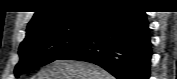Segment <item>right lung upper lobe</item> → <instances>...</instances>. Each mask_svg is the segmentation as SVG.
<instances>
[{
	"label": "right lung upper lobe",
	"instance_id": "obj_1",
	"mask_svg": "<svg viewBox=\"0 0 177 79\" xmlns=\"http://www.w3.org/2000/svg\"><path fill=\"white\" fill-rule=\"evenodd\" d=\"M127 0H46L39 5L27 26V33L51 23L68 21L92 13L102 14L106 9L129 5Z\"/></svg>",
	"mask_w": 177,
	"mask_h": 79
}]
</instances>
